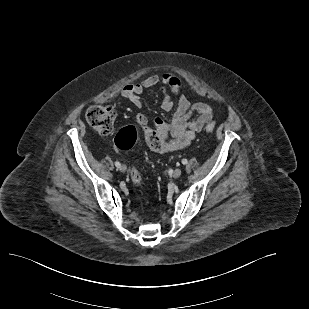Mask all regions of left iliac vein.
I'll return each mask as SVG.
<instances>
[{
  "mask_svg": "<svg viewBox=\"0 0 309 309\" xmlns=\"http://www.w3.org/2000/svg\"><path fill=\"white\" fill-rule=\"evenodd\" d=\"M181 174H182V170L179 169V168H177V169H175V170L173 171L172 176H173L174 178H179V177L181 176Z\"/></svg>",
  "mask_w": 309,
  "mask_h": 309,
  "instance_id": "obj_1",
  "label": "left iliac vein"
}]
</instances>
